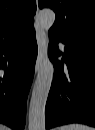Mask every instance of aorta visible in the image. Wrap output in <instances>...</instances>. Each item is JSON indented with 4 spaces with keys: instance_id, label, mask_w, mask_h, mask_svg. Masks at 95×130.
Listing matches in <instances>:
<instances>
[{
    "instance_id": "762f6f07",
    "label": "aorta",
    "mask_w": 95,
    "mask_h": 130,
    "mask_svg": "<svg viewBox=\"0 0 95 130\" xmlns=\"http://www.w3.org/2000/svg\"><path fill=\"white\" fill-rule=\"evenodd\" d=\"M41 28L48 32L54 24L55 13L42 9L38 13ZM54 68L48 57L40 67L33 87L29 106V130H45V106L53 80Z\"/></svg>"
}]
</instances>
